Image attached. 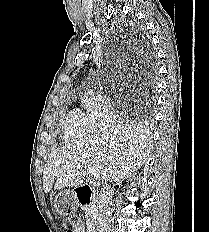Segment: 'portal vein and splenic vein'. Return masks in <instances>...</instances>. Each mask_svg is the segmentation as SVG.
I'll list each match as a JSON object with an SVG mask.
<instances>
[{
  "instance_id": "1",
  "label": "portal vein and splenic vein",
  "mask_w": 209,
  "mask_h": 232,
  "mask_svg": "<svg viewBox=\"0 0 209 232\" xmlns=\"http://www.w3.org/2000/svg\"><path fill=\"white\" fill-rule=\"evenodd\" d=\"M87 172L93 177L94 180H97L100 178V174L96 171L95 168L88 166Z\"/></svg>"
}]
</instances>
